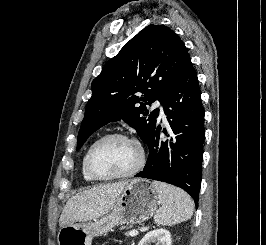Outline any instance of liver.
Segmentation results:
<instances>
[{"mask_svg":"<svg viewBox=\"0 0 266 245\" xmlns=\"http://www.w3.org/2000/svg\"><path fill=\"white\" fill-rule=\"evenodd\" d=\"M129 181L99 185L88 191H82L67 201L59 219L60 227L74 225V223H87L92 219H99L116 205L121 193Z\"/></svg>","mask_w":266,"mask_h":245,"instance_id":"liver-1","label":"liver"}]
</instances>
